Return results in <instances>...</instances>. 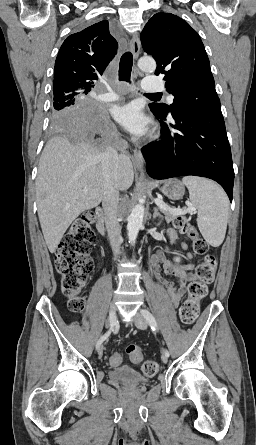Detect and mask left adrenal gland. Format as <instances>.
I'll return each mask as SVG.
<instances>
[{"instance_id":"left-adrenal-gland-1","label":"left adrenal gland","mask_w":256,"mask_h":445,"mask_svg":"<svg viewBox=\"0 0 256 445\" xmlns=\"http://www.w3.org/2000/svg\"><path fill=\"white\" fill-rule=\"evenodd\" d=\"M157 217L160 219V222L157 224V225H159L161 223V220H162V215L158 212V208L155 207L154 208V213H153V219H155Z\"/></svg>"}]
</instances>
